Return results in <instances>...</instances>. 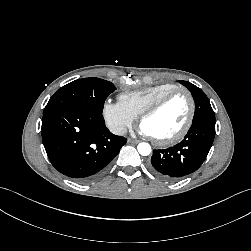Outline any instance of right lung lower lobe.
Returning <instances> with one entry per match:
<instances>
[{
	"label": "right lung lower lobe",
	"mask_w": 251,
	"mask_h": 251,
	"mask_svg": "<svg viewBox=\"0 0 251 251\" xmlns=\"http://www.w3.org/2000/svg\"><path fill=\"white\" fill-rule=\"evenodd\" d=\"M41 133L52 165L78 182L101 176L127 142L106 128L101 112L82 108L44 111Z\"/></svg>",
	"instance_id": "right-lung-lower-lobe-1"
}]
</instances>
